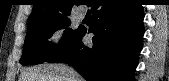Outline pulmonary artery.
<instances>
[{
    "label": "pulmonary artery",
    "instance_id": "pulmonary-artery-1",
    "mask_svg": "<svg viewBox=\"0 0 169 81\" xmlns=\"http://www.w3.org/2000/svg\"><path fill=\"white\" fill-rule=\"evenodd\" d=\"M85 17V11H80L79 12V18L83 19Z\"/></svg>",
    "mask_w": 169,
    "mask_h": 81
}]
</instances>
